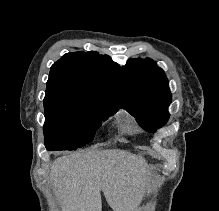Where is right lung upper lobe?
I'll return each instance as SVG.
<instances>
[{"mask_svg":"<svg viewBox=\"0 0 219 211\" xmlns=\"http://www.w3.org/2000/svg\"><path fill=\"white\" fill-rule=\"evenodd\" d=\"M49 97L123 106L120 67L95 51L66 53L51 67Z\"/></svg>","mask_w":219,"mask_h":211,"instance_id":"right-lung-upper-lobe-1","label":"right lung upper lobe"}]
</instances>
